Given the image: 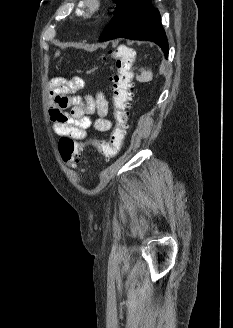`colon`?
Here are the masks:
<instances>
[{
    "mask_svg": "<svg viewBox=\"0 0 233 328\" xmlns=\"http://www.w3.org/2000/svg\"><path fill=\"white\" fill-rule=\"evenodd\" d=\"M116 59V72L111 77L114 127L107 141H95L94 145L103 160L114 158L122 148L128 130V114L133 90L134 53L127 48L112 52ZM58 150L66 166L80 170L86 153L80 141L69 136L59 140Z\"/></svg>",
    "mask_w": 233,
    "mask_h": 328,
    "instance_id": "obj_1",
    "label": "colon"
}]
</instances>
